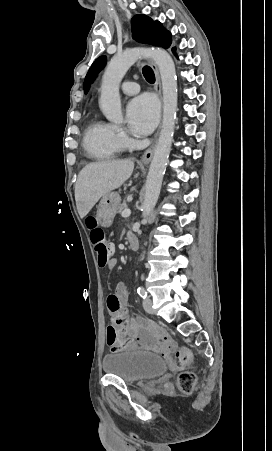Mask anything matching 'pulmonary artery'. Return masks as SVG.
<instances>
[{
	"instance_id": "obj_1",
	"label": "pulmonary artery",
	"mask_w": 272,
	"mask_h": 451,
	"mask_svg": "<svg viewBox=\"0 0 272 451\" xmlns=\"http://www.w3.org/2000/svg\"><path fill=\"white\" fill-rule=\"evenodd\" d=\"M121 89L126 95H135L140 90L139 85L135 82H124Z\"/></svg>"
}]
</instances>
